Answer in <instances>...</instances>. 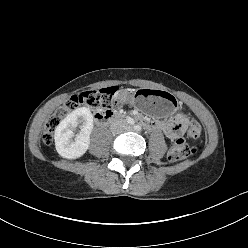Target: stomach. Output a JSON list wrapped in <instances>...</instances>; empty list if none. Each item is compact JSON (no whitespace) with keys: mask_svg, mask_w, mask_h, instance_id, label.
Wrapping results in <instances>:
<instances>
[{"mask_svg":"<svg viewBox=\"0 0 248 248\" xmlns=\"http://www.w3.org/2000/svg\"><path fill=\"white\" fill-rule=\"evenodd\" d=\"M114 100L121 107L132 104L154 117H167L174 114L178 104L171 94L160 92L155 87L136 89L132 93L126 88H121L116 91Z\"/></svg>","mask_w":248,"mask_h":248,"instance_id":"obj_1","label":"stomach"}]
</instances>
